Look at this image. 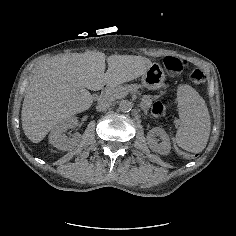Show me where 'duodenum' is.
<instances>
[{
	"label": "duodenum",
	"mask_w": 236,
	"mask_h": 236,
	"mask_svg": "<svg viewBox=\"0 0 236 236\" xmlns=\"http://www.w3.org/2000/svg\"><path fill=\"white\" fill-rule=\"evenodd\" d=\"M111 86V84L109 83H103L100 87V90H107L109 87Z\"/></svg>",
	"instance_id": "duodenum-1"
}]
</instances>
